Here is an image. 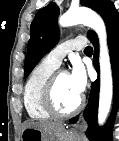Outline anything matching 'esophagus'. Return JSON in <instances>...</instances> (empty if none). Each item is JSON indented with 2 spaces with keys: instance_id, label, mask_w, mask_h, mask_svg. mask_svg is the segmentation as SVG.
Here are the masks:
<instances>
[{
  "instance_id": "obj_1",
  "label": "esophagus",
  "mask_w": 119,
  "mask_h": 141,
  "mask_svg": "<svg viewBox=\"0 0 119 141\" xmlns=\"http://www.w3.org/2000/svg\"><path fill=\"white\" fill-rule=\"evenodd\" d=\"M80 129L86 130L87 129V123L85 121H82L79 125Z\"/></svg>"
}]
</instances>
